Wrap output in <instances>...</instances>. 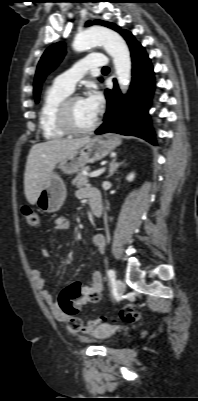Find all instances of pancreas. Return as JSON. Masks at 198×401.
Returning <instances> with one entry per match:
<instances>
[{
    "mask_svg": "<svg viewBox=\"0 0 198 401\" xmlns=\"http://www.w3.org/2000/svg\"><path fill=\"white\" fill-rule=\"evenodd\" d=\"M89 168H84L82 169L77 176L72 180V186H75L76 188H81L83 186H86L88 184V175L84 174V171H88Z\"/></svg>",
    "mask_w": 198,
    "mask_h": 401,
    "instance_id": "obj_1",
    "label": "pancreas"
}]
</instances>
